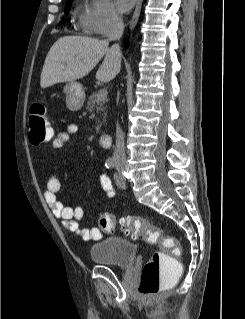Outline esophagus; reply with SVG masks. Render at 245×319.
Returning a JSON list of instances; mask_svg holds the SVG:
<instances>
[{
  "label": "esophagus",
  "mask_w": 245,
  "mask_h": 319,
  "mask_svg": "<svg viewBox=\"0 0 245 319\" xmlns=\"http://www.w3.org/2000/svg\"><path fill=\"white\" fill-rule=\"evenodd\" d=\"M142 1L143 0H137V4H136L134 13L132 15V18H131L130 24H129L130 30H133L138 22V19L140 16V11H141V6H142Z\"/></svg>",
  "instance_id": "1"
}]
</instances>
